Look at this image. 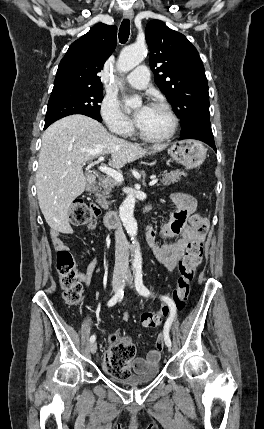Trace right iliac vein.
<instances>
[{
  "label": "right iliac vein",
  "instance_id": "obj_1",
  "mask_svg": "<svg viewBox=\"0 0 264 429\" xmlns=\"http://www.w3.org/2000/svg\"><path fill=\"white\" fill-rule=\"evenodd\" d=\"M121 279H122V273L121 272H117L114 275L113 282H112V291L114 293H116L119 290ZM96 351H97V343L96 342H92L90 344V352L92 354H95Z\"/></svg>",
  "mask_w": 264,
  "mask_h": 429
}]
</instances>
